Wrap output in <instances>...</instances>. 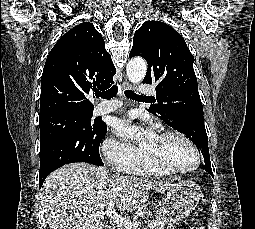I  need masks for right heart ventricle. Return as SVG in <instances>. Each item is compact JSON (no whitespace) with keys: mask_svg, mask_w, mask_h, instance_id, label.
Listing matches in <instances>:
<instances>
[{"mask_svg":"<svg viewBox=\"0 0 255 229\" xmlns=\"http://www.w3.org/2000/svg\"><path fill=\"white\" fill-rule=\"evenodd\" d=\"M122 170L134 175H167V173H164L147 163L141 154L132 162L126 164Z\"/></svg>","mask_w":255,"mask_h":229,"instance_id":"obj_1","label":"right heart ventricle"}]
</instances>
